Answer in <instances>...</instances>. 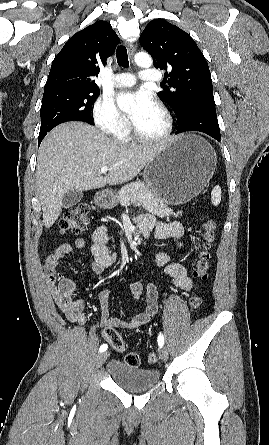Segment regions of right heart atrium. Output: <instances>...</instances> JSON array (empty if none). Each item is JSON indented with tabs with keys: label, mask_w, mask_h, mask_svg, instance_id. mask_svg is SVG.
Wrapping results in <instances>:
<instances>
[{
	"label": "right heart atrium",
	"mask_w": 269,
	"mask_h": 445,
	"mask_svg": "<svg viewBox=\"0 0 269 445\" xmlns=\"http://www.w3.org/2000/svg\"><path fill=\"white\" fill-rule=\"evenodd\" d=\"M92 114L94 123L102 132L117 137L128 132L129 122L111 97H99L93 105Z\"/></svg>",
	"instance_id": "1"
}]
</instances>
